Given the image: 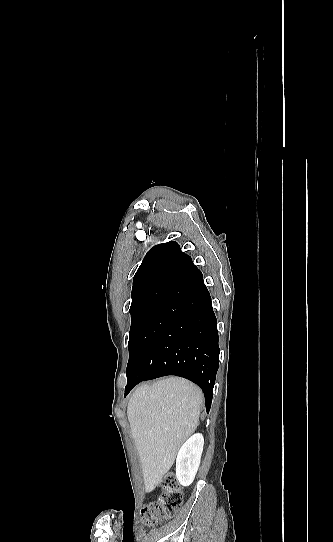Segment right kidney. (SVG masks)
I'll use <instances>...</instances> for the list:
<instances>
[{"mask_svg": "<svg viewBox=\"0 0 333 542\" xmlns=\"http://www.w3.org/2000/svg\"><path fill=\"white\" fill-rule=\"evenodd\" d=\"M204 438L194 434L181 446L176 458V478L181 486H191L200 466Z\"/></svg>", "mask_w": 333, "mask_h": 542, "instance_id": "obj_1", "label": "right kidney"}]
</instances>
